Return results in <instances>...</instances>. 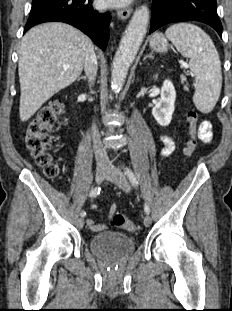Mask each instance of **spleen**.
<instances>
[{"label": "spleen", "instance_id": "1", "mask_svg": "<svg viewBox=\"0 0 232 311\" xmlns=\"http://www.w3.org/2000/svg\"><path fill=\"white\" fill-rule=\"evenodd\" d=\"M165 35L182 56L189 58L190 69L195 75L193 102L196 108L202 113L211 112L222 88L221 63L213 41L191 23L174 24Z\"/></svg>", "mask_w": 232, "mask_h": 311}]
</instances>
